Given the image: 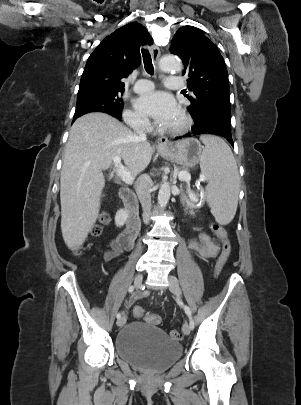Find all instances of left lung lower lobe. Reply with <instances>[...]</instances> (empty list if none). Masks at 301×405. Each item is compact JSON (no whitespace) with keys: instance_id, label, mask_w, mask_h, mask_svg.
I'll use <instances>...</instances> for the list:
<instances>
[{"instance_id":"0a47b994","label":"left lung lower lobe","mask_w":301,"mask_h":405,"mask_svg":"<svg viewBox=\"0 0 301 405\" xmlns=\"http://www.w3.org/2000/svg\"><path fill=\"white\" fill-rule=\"evenodd\" d=\"M194 120V126L191 132L184 135L186 136H197L203 134H211L224 137L228 142L234 147L232 134H231V118L216 114H202V113H191ZM182 137H177L180 139Z\"/></svg>"}]
</instances>
